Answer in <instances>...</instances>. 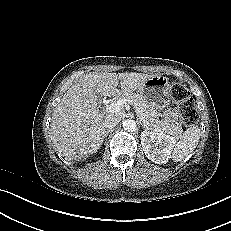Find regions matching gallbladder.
<instances>
[{
  "label": "gallbladder",
  "mask_w": 231,
  "mask_h": 231,
  "mask_svg": "<svg viewBox=\"0 0 231 231\" xmlns=\"http://www.w3.org/2000/svg\"><path fill=\"white\" fill-rule=\"evenodd\" d=\"M96 98H97V99H99V98H100V96H99V95H96Z\"/></svg>",
  "instance_id": "gallbladder-1"
}]
</instances>
